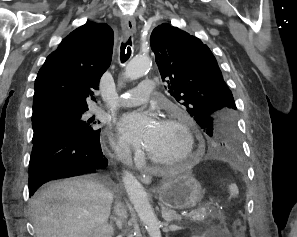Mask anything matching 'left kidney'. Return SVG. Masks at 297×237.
Segmentation results:
<instances>
[{"instance_id": "1", "label": "left kidney", "mask_w": 297, "mask_h": 237, "mask_svg": "<svg viewBox=\"0 0 297 237\" xmlns=\"http://www.w3.org/2000/svg\"><path fill=\"white\" fill-rule=\"evenodd\" d=\"M193 237H210V233L209 231H206L205 233H203L202 236H193Z\"/></svg>"}]
</instances>
